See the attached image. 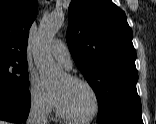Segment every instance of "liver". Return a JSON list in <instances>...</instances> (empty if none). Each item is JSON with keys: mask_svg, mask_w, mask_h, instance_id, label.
I'll list each match as a JSON object with an SVG mask.
<instances>
[{"mask_svg": "<svg viewBox=\"0 0 156 124\" xmlns=\"http://www.w3.org/2000/svg\"><path fill=\"white\" fill-rule=\"evenodd\" d=\"M0 124H8V123H5L4 121H0Z\"/></svg>", "mask_w": 156, "mask_h": 124, "instance_id": "6515ba94", "label": "liver"}]
</instances>
